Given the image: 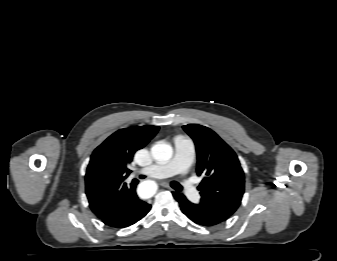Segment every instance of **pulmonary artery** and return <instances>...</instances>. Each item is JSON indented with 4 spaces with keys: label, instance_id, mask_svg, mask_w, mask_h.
Returning <instances> with one entry per match:
<instances>
[{
    "label": "pulmonary artery",
    "instance_id": "pulmonary-artery-1",
    "mask_svg": "<svg viewBox=\"0 0 337 261\" xmlns=\"http://www.w3.org/2000/svg\"><path fill=\"white\" fill-rule=\"evenodd\" d=\"M195 147L191 140L177 138L175 140L174 158L164 165L154 164L141 170V173L153 178H165L174 174H185L193 161ZM186 195L191 200H197L199 193L195 186L187 179L182 181Z\"/></svg>",
    "mask_w": 337,
    "mask_h": 261
}]
</instances>
